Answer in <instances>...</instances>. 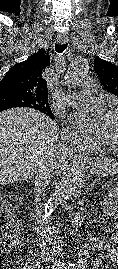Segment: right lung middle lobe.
I'll return each instance as SVG.
<instances>
[{"mask_svg":"<svg viewBox=\"0 0 118 269\" xmlns=\"http://www.w3.org/2000/svg\"><path fill=\"white\" fill-rule=\"evenodd\" d=\"M5 104L0 105V109L12 108V107H30L39 111L50 108L47 103L30 98L24 95L12 94L7 96ZM7 106V107H6Z\"/></svg>","mask_w":118,"mask_h":269,"instance_id":"1","label":"right lung middle lobe"}]
</instances>
